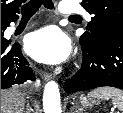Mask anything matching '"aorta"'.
<instances>
[{"mask_svg":"<svg viewBox=\"0 0 123 113\" xmlns=\"http://www.w3.org/2000/svg\"><path fill=\"white\" fill-rule=\"evenodd\" d=\"M43 109L44 113H62L59 86L53 80L44 87Z\"/></svg>","mask_w":123,"mask_h":113,"instance_id":"1","label":"aorta"}]
</instances>
